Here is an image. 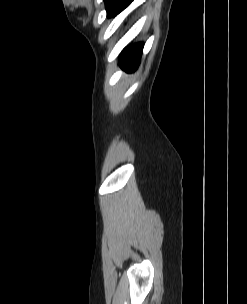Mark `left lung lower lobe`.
I'll list each match as a JSON object with an SVG mask.
<instances>
[{"label": "left lung lower lobe", "instance_id": "1", "mask_svg": "<svg viewBox=\"0 0 247 304\" xmlns=\"http://www.w3.org/2000/svg\"><path fill=\"white\" fill-rule=\"evenodd\" d=\"M107 17H114L122 12L133 0H104ZM144 43L126 47L120 56V66L126 71L133 72L138 68Z\"/></svg>", "mask_w": 247, "mask_h": 304}]
</instances>
